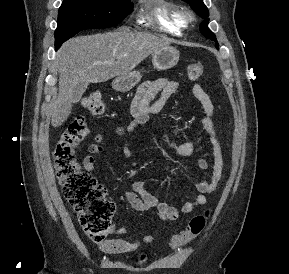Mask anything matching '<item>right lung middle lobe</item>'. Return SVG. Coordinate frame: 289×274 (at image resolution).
Instances as JSON below:
<instances>
[{"label": "right lung middle lobe", "mask_w": 289, "mask_h": 274, "mask_svg": "<svg viewBox=\"0 0 289 274\" xmlns=\"http://www.w3.org/2000/svg\"><path fill=\"white\" fill-rule=\"evenodd\" d=\"M132 9L130 0H64L55 30L56 49L81 30L119 24Z\"/></svg>", "instance_id": "obj_1"}]
</instances>
